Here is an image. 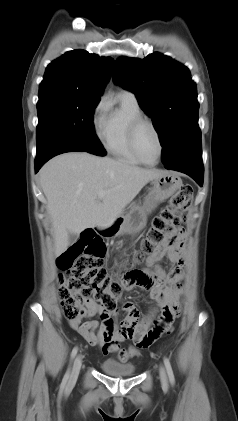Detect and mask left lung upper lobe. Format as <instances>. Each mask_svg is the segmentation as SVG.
<instances>
[{
  "mask_svg": "<svg viewBox=\"0 0 238 421\" xmlns=\"http://www.w3.org/2000/svg\"><path fill=\"white\" fill-rule=\"evenodd\" d=\"M114 80L134 92L141 108L152 118L163 147L164 164L201 138L196 84L186 66L158 52L144 59L120 57L115 63Z\"/></svg>",
  "mask_w": 238,
  "mask_h": 421,
  "instance_id": "left-lung-upper-lobe-1",
  "label": "left lung upper lobe"
}]
</instances>
